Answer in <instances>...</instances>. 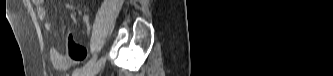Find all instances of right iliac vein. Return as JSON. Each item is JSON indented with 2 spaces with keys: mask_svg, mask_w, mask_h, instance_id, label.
<instances>
[{
  "mask_svg": "<svg viewBox=\"0 0 333 76\" xmlns=\"http://www.w3.org/2000/svg\"><path fill=\"white\" fill-rule=\"evenodd\" d=\"M104 62H105V59L101 58L91 69L84 72L81 76H94L95 74H97L99 72V70L101 69Z\"/></svg>",
  "mask_w": 333,
  "mask_h": 76,
  "instance_id": "right-iliac-vein-1",
  "label": "right iliac vein"
}]
</instances>
